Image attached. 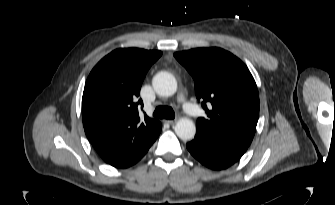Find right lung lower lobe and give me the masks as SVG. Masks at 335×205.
<instances>
[{"label":"right lung lower lobe","mask_w":335,"mask_h":205,"mask_svg":"<svg viewBox=\"0 0 335 205\" xmlns=\"http://www.w3.org/2000/svg\"><path fill=\"white\" fill-rule=\"evenodd\" d=\"M145 154H146V152L143 155H141L138 158H135L131 161L124 162V163L113 164L112 166L117 167V168H126V167H129V166H132L133 164L138 162Z\"/></svg>","instance_id":"98d812e1"}]
</instances>
